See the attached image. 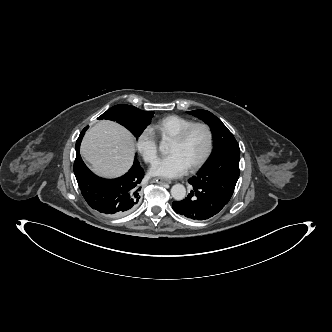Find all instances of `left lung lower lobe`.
<instances>
[{
    "instance_id": "obj_1",
    "label": "left lung lower lobe",
    "mask_w": 332,
    "mask_h": 332,
    "mask_svg": "<svg viewBox=\"0 0 332 332\" xmlns=\"http://www.w3.org/2000/svg\"><path fill=\"white\" fill-rule=\"evenodd\" d=\"M188 182L193 187L188 197L172 203L177 214L194 220H206L216 215L228 203L226 198L209 189L197 178Z\"/></svg>"
}]
</instances>
